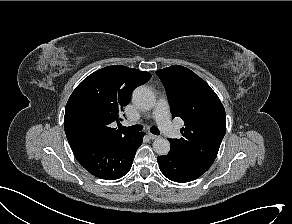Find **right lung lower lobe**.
Here are the masks:
<instances>
[{
  "label": "right lung lower lobe",
  "instance_id": "obj_1",
  "mask_svg": "<svg viewBox=\"0 0 292 224\" xmlns=\"http://www.w3.org/2000/svg\"><path fill=\"white\" fill-rule=\"evenodd\" d=\"M144 133H135L126 140L102 141L97 143H70L78 162L94 176L115 180L126 175L132 166Z\"/></svg>",
  "mask_w": 292,
  "mask_h": 224
}]
</instances>
